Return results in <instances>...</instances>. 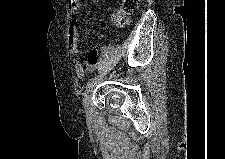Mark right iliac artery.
Instances as JSON below:
<instances>
[{
  "label": "right iliac artery",
  "instance_id": "right-iliac-artery-1",
  "mask_svg": "<svg viewBox=\"0 0 225 159\" xmlns=\"http://www.w3.org/2000/svg\"><path fill=\"white\" fill-rule=\"evenodd\" d=\"M96 79H97L96 77H93L92 79H90V81L87 84L86 90L90 89L96 84Z\"/></svg>",
  "mask_w": 225,
  "mask_h": 159
}]
</instances>
